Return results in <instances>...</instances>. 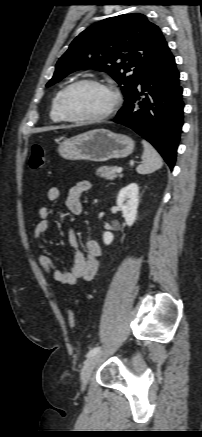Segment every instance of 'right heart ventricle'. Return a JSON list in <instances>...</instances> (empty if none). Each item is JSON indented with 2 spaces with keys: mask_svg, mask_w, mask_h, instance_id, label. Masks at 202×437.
Listing matches in <instances>:
<instances>
[{
  "mask_svg": "<svg viewBox=\"0 0 202 437\" xmlns=\"http://www.w3.org/2000/svg\"><path fill=\"white\" fill-rule=\"evenodd\" d=\"M63 91V89L58 90L53 98H52V102H51V108H50V118L52 119V121L56 122V123H61V122H65L66 120L62 117L60 111H59V107H58V100H59V96L61 94V92Z\"/></svg>",
  "mask_w": 202,
  "mask_h": 437,
  "instance_id": "right-heart-ventricle-1",
  "label": "right heart ventricle"
}]
</instances>
